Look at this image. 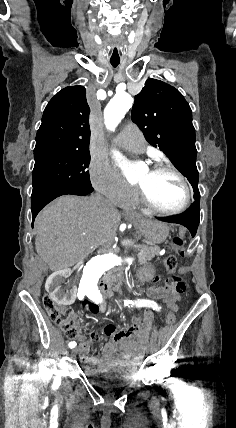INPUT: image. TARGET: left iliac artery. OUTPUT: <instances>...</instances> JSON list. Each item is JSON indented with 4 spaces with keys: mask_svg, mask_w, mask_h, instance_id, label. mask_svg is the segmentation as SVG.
<instances>
[{
    "mask_svg": "<svg viewBox=\"0 0 236 428\" xmlns=\"http://www.w3.org/2000/svg\"><path fill=\"white\" fill-rule=\"evenodd\" d=\"M85 294L89 299H91L96 304L101 303L103 300L102 295L100 294V291H87L85 292ZM129 304H132L131 307H133V305H136V307H145V306L152 307L153 310H157V311L161 309V307H158L156 302L150 301V300L139 299L138 301H135V302H133L132 300H124L125 306H128Z\"/></svg>",
    "mask_w": 236,
    "mask_h": 428,
    "instance_id": "left-iliac-artery-1",
    "label": "left iliac artery"
}]
</instances>
